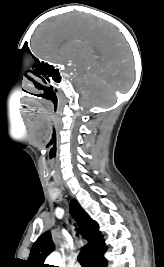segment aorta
<instances>
[{"label":"aorta","instance_id":"762f6f07","mask_svg":"<svg viewBox=\"0 0 164 267\" xmlns=\"http://www.w3.org/2000/svg\"><path fill=\"white\" fill-rule=\"evenodd\" d=\"M46 262L49 265L61 267L62 265L61 255L58 252H53L52 254L48 256V258L46 259Z\"/></svg>","mask_w":164,"mask_h":267}]
</instances>
